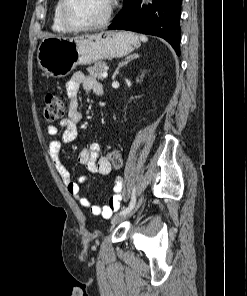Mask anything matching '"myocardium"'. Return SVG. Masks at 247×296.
<instances>
[{
  "mask_svg": "<svg viewBox=\"0 0 247 296\" xmlns=\"http://www.w3.org/2000/svg\"><path fill=\"white\" fill-rule=\"evenodd\" d=\"M108 2H109V8H108L107 14L101 21L95 24H90V25H79L75 23L70 17V8L73 3V0H62L61 10H60L61 21L69 31H73V32L93 31V30L104 28L110 23L113 15V2L112 0H109Z\"/></svg>",
  "mask_w": 247,
  "mask_h": 296,
  "instance_id": "myocardium-1",
  "label": "myocardium"
}]
</instances>
